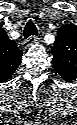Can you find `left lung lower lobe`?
<instances>
[{
  "label": "left lung lower lobe",
  "instance_id": "1",
  "mask_svg": "<svg viewBox=\"0 0 77 125\" xmlns=\"http://www.w3.org/2000/svg\"><path fill=\"white\" fill-rule=\"evenodd\" d=\"M59 75L66 81H71L75 77V68L66 65H59L54 67Z\"/></svg>",
  "mask_w": 77,
  "mask_h": 125
}]
</instances>
